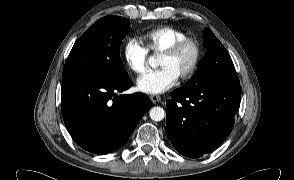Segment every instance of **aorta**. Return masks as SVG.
<instances>
[{
    "label": "aorta",
    "instance_id": "aorta-1",
    "mask_svg": "<svg viewBox=\"0 0 294 180\" xmlns=\"http://www.w3.org/2000/svg\"><path fill=\"white\" fill-rule=\"evenodd\" d=\"M149 64L152 66V67H156L157 64L155 63V60L153 57H150L149 59ZM149 115H150V118L153 120V121H161L164 119L165 117V111L163 108L159 107V106H155L153 108L150 109V112H149Z\"/></svg>",
    "mask_w": 294,
    "mask_h": 180
}]
</instances>
